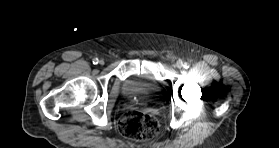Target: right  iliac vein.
Instances as JSON below:
<instances>
[{"label": "right iliac vein", "mask_w": 279, "mask_h": 148, "mask_svg": "<svg viewBox=\"0 0 279 148\" xmlns=\"http://www.w3.org/2000/svg\"><path fill=\"white\" fill-rule=\"evenodd\" d=\"M99 63H100V65H103V64H104V61H103V60H101Z\"/></svg>", "instance_id": "right-iliac-vein-1"}]
</instances>
